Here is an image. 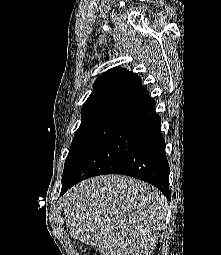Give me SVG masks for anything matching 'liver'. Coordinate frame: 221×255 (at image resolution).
Masks as SVG:
<instances>
[{
    "mask_svg": "<svg viewBox=\"0 0 221 255\" xmlns=\"http://www.w3.org/2000/svg\"><path fill=\"white\" fill-rule=\"evenodd\" d=\"M66 226L101 255H151L167 199L150 184L121 175L87 179L63 196Z\"/></svg>",
    "mask_w": 221,
    "mask_h": 255,
    "instance_id": "obj_1",
    "label": "liver"
}]
</instances>
